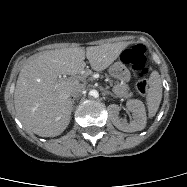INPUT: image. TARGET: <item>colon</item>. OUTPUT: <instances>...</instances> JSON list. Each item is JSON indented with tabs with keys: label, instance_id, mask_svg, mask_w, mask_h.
<instances>
[{
	"label": "colon",
	"instance_id": "5ec220e1",
	"mask_svg": "<svg viewBox=\"0 0 187 187\" xmlns=\"http://www.w3.org/2000/svg\"><path fill=\"white\" fill-rule=\"evenodd\" d=\"M123 62L130 64L135 70L137 81L136 90L139 94H145L148 88L147 73L148 68L147 56L145 47L141 44H137L130 49H127L122 54Z\"/></svg>",
	"mask_w": 187,
	"mask_h": 187
}]
</instances>
